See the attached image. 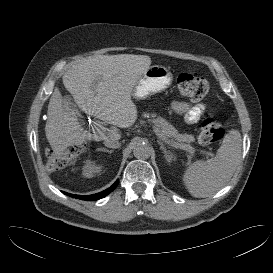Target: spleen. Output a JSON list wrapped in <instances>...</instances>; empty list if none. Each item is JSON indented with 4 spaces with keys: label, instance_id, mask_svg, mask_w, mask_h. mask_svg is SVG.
<instances>
[{
    "label": "spleen",
    "instance_id": "1",
    "mask_svg": "<svg viewBox=\"0 0 273 273\" xmlns=\"http://www.w3.org/2000/svg\"><path fill=\"white\" fill-rule=\"evenodd\" d=\"M241 135L230 130L214 158L195 161L183 174L189 193L205 198L219 191L233 176L241 158Z\"/></svg>",
    "mask_w": 273,
    "mask_h": 273
}]
</instances>
